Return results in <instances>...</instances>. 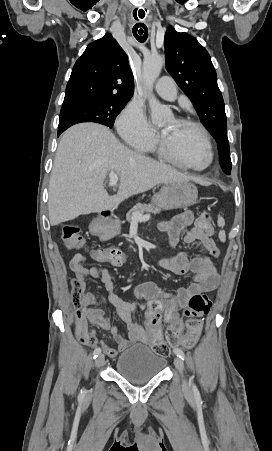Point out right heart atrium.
<instances>
[{
    "instance_id": "obj_1",
    "label": "right heart atrium",
    "mask_w": 272,
    "mask_h": 451,
    "mask_svg": "<svg viewBox=\"0 0 272 451\" xmlns=\"http://www.w3.org/2000/svg\"><path fill=\"white\" fill-rule=\"evenodd\" d=\"M117 124L123 138L135 148H147L157 138V129L148 120L145 110L134 103L126 106Z\"/></svg>"
}]
</instances>
